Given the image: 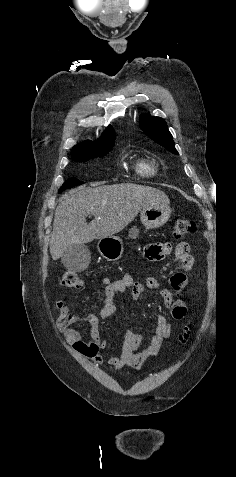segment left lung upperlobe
Masks as SVG:
<instances>
[{
  "instance_id": "left-lung-upper-lobe-1",
  "label": "left lung upper lobe",
  "mask_w": 236,
  "mask_h": 477,
  "mask_svg": "<svg viewBox=\"0 0 236 477\" xmlns=\"http://www.w3.org/2000/svg\"><path fill=\"white\" fill-rule=\"evenodd\" d=\"M140 127L156 143L168 149L171 153L178 154L174 147L173 137L167 124L160 117H151L146 114L140 117Z\"/></svg>"
}]
</instances>
